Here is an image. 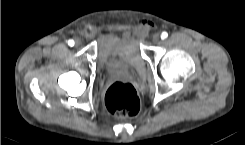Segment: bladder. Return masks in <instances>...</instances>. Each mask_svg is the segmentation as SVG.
Masks as SVG:
<instances>
[{"label":"bladder","mask_w":245,"mask_h":145,"mask_svg":"<svg viewBox=\"0 0 245 145\" xmlns=\"http://www.w3.org/2000/svg\"><path fill=\"white\" fill-rule=\"evenodd\" d=\"M98 65L107 73L140 69L145 59L132 33H105L98 48Z\"/></svg>","instance_id":"bladder-1"}]
</instances>
